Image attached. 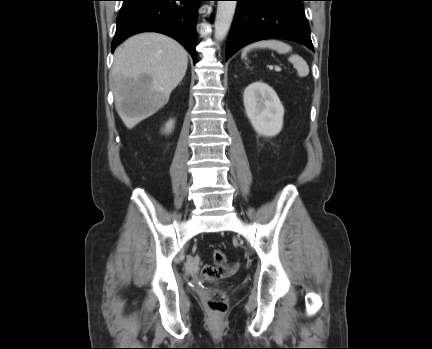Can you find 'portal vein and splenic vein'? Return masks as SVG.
Here are the masks:
<instances>
[{"mask_svg": "<svg viewBox=\"0 0 432 349\" xmlns=\"http://www.w3.org/2000/svg\"><path fill=\"white\" fill-rule=\"evenodd\" d=\"M270 69H273V66H269ZM275 71L280 72L281 71V67L279 66H275Z\"/></svg>", "mask_w": 432, "mask_h": 349, "instance_id": "obj_1", "label": "portal vein and splenic vein"}]
</instances>
